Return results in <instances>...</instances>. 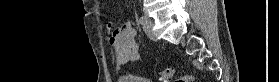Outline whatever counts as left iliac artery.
Masks as SVG:
<instances>
[{"label":"left iliac artery","mask_w":279,"mask_h":82,"mask_svg":"<svg viewBox=\"0 0 279 82\" xmlns=\"http://www.w3.org/2000/svg\"><path fill=\"white\" fill-rule=\"evenodd\" d=\"M146 21V17H143V16H140L139 17V22L140 23H143V22H145Z\"/></svg>","instance_id":"obj_1"}]
</instances>
